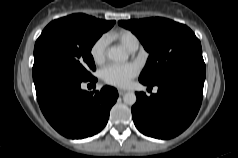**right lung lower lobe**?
<instances>
[{"label":"right lung lower lobe","mask_w":238,"mask_h":158,"mask_svg":"<svg viewBox=\"0 0 238 158\" xmlns=\"http://www.w3.org/2000/svg\"><path fill=\"white\" fill-rule=\"evenodd\" d=\"M33 80L45 118L60 134L71 139L100 132L118 98L117 90L110 86L100 91L83 90L84 82L95 83L97 79H83L53 64L33 67Z\"/></svg>","instance_id":"right-lung-lower-lobe-1"}]
</instances>
